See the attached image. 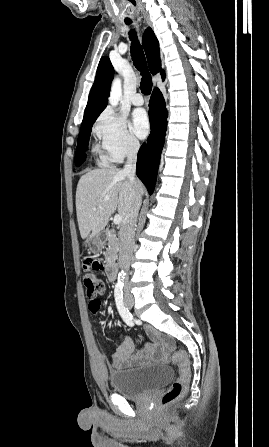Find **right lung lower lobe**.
<instances>
[{"label":"right lung lower lobe","mask_w":269,"mask_h":447,"mask_svg":"<svg viewBox=\"0 0 269 447\" xmlns=\"http://www.w3.org/2000/svg\"><path fill=\"white\" fill-rule=\"evenodd\" d=\"M164 80V75H162ZM151 133L137 156L136 174L152 194L167 129V110L162 93L158 88L152 92L149 102Z\"/></svg>","instance_id":"98d812e1"}]
</instances>
